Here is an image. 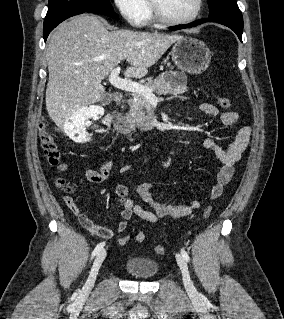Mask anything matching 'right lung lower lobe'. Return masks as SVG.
I'll use <instances>...</instances> for the list:
<instances>
[{"label": "right lung lower lobe", "mask_w": 284, "mask_h": 319, "mask_svg": "<svg viewBox=\"0 0 284 319\" xmlns=\"http://www.w3.org/2000/svg\"><path fill=\"white\" fill-rule=\"evenodd\" d=\"M84 12H74V13H69L63 16L58 17L57 19L51 21L50 23L44 24V30H43V37L44 40L46 41L49 33L58 25L60 24L62 21H64L65 19L72 17L74 15H78V14H82ZM87 13H99V14H103V15H107L113 18H117L118 15L116 13H114V10H110V11H105V10H92V11H87Z\"/></svg>", "instance_id": "obj_1"}]
</instances>
